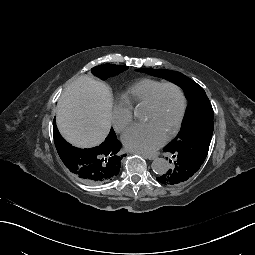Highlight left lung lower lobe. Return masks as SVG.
<instances>
[{
    "instance_id": "0a47b994",
    "label": "left lung lower lobe",
    "mask_w": 255,
    "mask_h": 255,
    "mask_svg": "<svg viewBox=\"0 0 255 255\" xmlns=\"http://www.w3.org/2000/svg\"><path fill=\"white\" fill-rule=\"evenodd\" d=\"M164 150H166L167 156H171L168 162L169 168L171 170L168 171L165 175H160L157 178L159 183L176 185L180 182L186 181L190 178V176L198 174V166L182 157L179 151H171L169 149Z\"/></svg>"
}]
</instances>
